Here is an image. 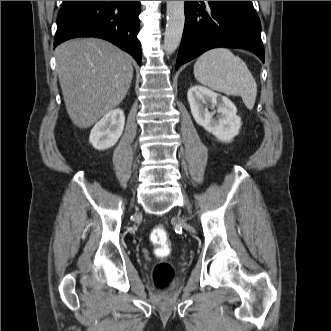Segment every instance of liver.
Returning a JSON list of instances; mask_svg holds the SVG:
<instances>
[{"instance_id":"1","label":"liver","mask_w":331,"mask_h":331,"mask_svg":"<svg viewBox=\"0 0 331 331\" xmlns=\"http://www.w3.org/2000/svg\"><path fill=\"white\" fill-rule=\"evenodd\" d=\"M57 72L67 113L86 129L114 110L133 78L129 55L98 38L71 39L56 48Z\"/></svg>"}]
</instances>
